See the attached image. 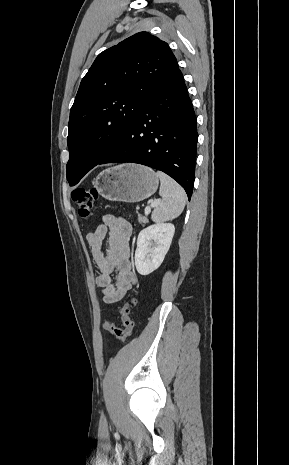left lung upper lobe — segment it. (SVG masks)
Returning <instances> with one entry per match:
<instances>
[{"instance_id": "1", "label": "left lung upper lobe", "mask_w": 289, "mask_h": 465, "mask_svg": "<svg viewBox=\"0 0 289 465\" xmlns=\"http://www.w3.org/2000/svg\"><path fill=\"white\" fill-rule=\"evenodd\" d=\"M178 69L168 44L147 32L97 56L70 111L66 168L71 186L113 149L146 96Z\"/></svg>"}]
</instances>
